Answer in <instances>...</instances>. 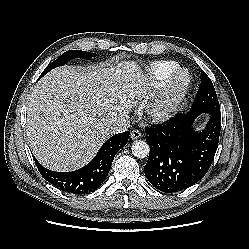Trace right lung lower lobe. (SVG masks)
Listing matches in <instances>:
<instances>
[{
	"mask_svg": "<svg viewBox=\"0 0 249 249\" xmlns=\"http://www.w3.org/2000/svg\"><path fill=\"white\" fill-rule=\"evenodd\" d=\"M129 132L110 137L94 159L73 172H55L43 167L36 159V166L45 180L65 192L87 194L95 191L107 177L116 153L127 144Z\"/></svg>",
	"mask_w": 249,
	"mask_h": 249,
	"instance_id": "obj_1",
	"label": "right lung lower lobe"
}]
</instances>
